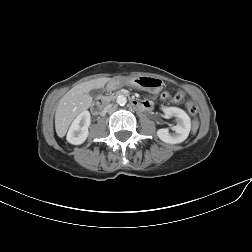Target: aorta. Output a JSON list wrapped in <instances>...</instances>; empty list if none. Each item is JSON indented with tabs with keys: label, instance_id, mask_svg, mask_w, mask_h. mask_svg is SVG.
Wrapping results in <instances>:
<instances>
[{
	"label": "aorta",
	"instance_id": "762f6f07",
	"mask_svg": "<svg viewBox=\"0 0 252 252\" xmlns=\"http://www.w3.org/2000/svg\"><path fill=\"white\" fill-rule=\"evenodd\" d=\"M116 102L120 106H124L127 103V98L123 95L117 97Z\"/></svg>",
	"mask_w": 252,
	"mask_h": 252
}]
</instances>
